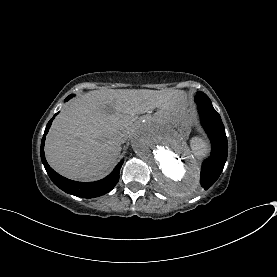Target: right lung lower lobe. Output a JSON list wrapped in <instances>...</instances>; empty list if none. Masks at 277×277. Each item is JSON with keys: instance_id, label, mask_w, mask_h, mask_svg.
<instances>
[{"instance_id": "1", "label": "right lung lower lobe", "mask_w": 277, "mask_h": 277, "mask_svg": "<svg viewBox=\"0 0 277 277\" xmlns=\"http://www.w3.org/2000/svg\"><path fill=\"white\" fill-rule=\"evenodd\" d=\"M72 95L66 98V101L71 98ZM59 113V112H58ZM56 113L55 115H57ZM53 121V118L48 122L44 134L46 135L51 123ZM45 135L42 138L41 142V160L42 163L50 177V179L53 181V183L59 187L61 190L65 191L66 193L82 197V198H95L98 196H101L103 194L108 193L111 191L117 182L119 181V172L120 168L123 164V161H121L114 171L107 176L106 178L96 181V182H90V183H82V182H76L69 180L65 177H62L58 173H56L47 163L45 157H44V142H45Z\"/></svg>"}]
</instances>
